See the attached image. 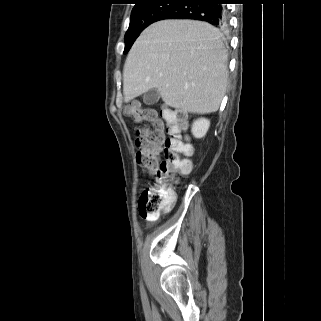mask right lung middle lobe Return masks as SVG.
<instances>
[{
  "mask_svg": "<svg viewBox=\"0 0 321 321\" xmlns=\"http://www.w3.org/2000/svg\"><path fill=\"white\" fill-rule=\"evenodd\" d=\"M178 0H151L141 5L134 6L129 28L125 34L126 54L139 34L150 24L158 21V18L177 4Z\"/></svg>",
  "mask_w": 321,
  "mask_h": 321,
  "instance_id": "obj_1",
  "label": "right lung middle lobe"
}]
</instances>
